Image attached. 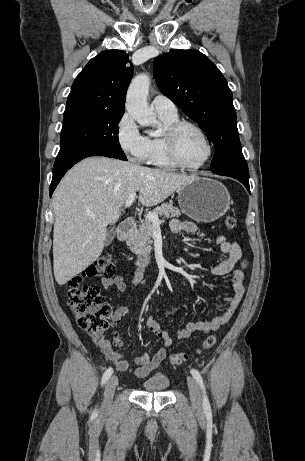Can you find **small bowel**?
<instances>
[{
	"label": "small bowel",
	"instance_id": "1",
	"mask_svg": "<svg viewBox=\"0 0 305 461\" xmlns=\"http://www.w3.org/2000/svg\"><path fill=\"white\" fill-rule=\"evenodd\" d=\"M171 230L173 233H189L193 234L197 231L195 223L186 220L173 219L171 221ZM217 245L220 251L226 255L219 263L209 268V272L213 276L231 275L232 294L226 297L227 305L214 317L202 320L189 322L186 327L180 328L176 332L178 339L188 338L196 332L209 333L219 329L226 324L238 308L244 292V272L243 269L247 266V262L243 260L242 250L240 245L233 241L227 240L224 235L217 238ZM241 262V268H237V263ZM143 276L141 269L137 270L133 276V282L139 283ZM103 288L108 289L115 287L120 293L126 291V283L122 276L108 277L101 280ZM161 310V306L158 307ZM130 310L126 306H119L111 318V330L113 333L112 340H109L105 335L99 334L94 336L96 345L102 350L105 357L114 364L120 371H133L139 378H146L154 371L160 363L166 358V348L173 344V339L163 330L154 316H148L146 326L150 332L155 334L160 340L162 347L151 357L147 352L134 358L133 363L129 362L124 356L115 351L113 347L123 346V340L115 330L118 324L129 316Z\"/></svg>",
	"mask_w": 305,
	"mask_h": 461
}]
</instances>
